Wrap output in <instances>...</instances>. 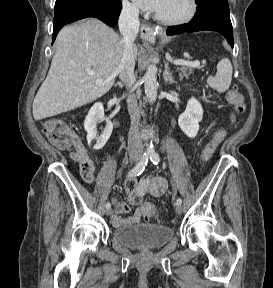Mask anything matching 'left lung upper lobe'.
<instances>
[{
  "mask_svg": "<svg viewBox=\"0 0 273 288\" xmlns=\"http://www.w3.org/2000/svg\"><path fill=\"white\" fill-rule=\"evenodd\" d=\"M199 1H201V0H196V2H199Z\"/></svg>",
  "mask_w": 273,
  "mask_h": 288,
  "instance_id": "obj_1",
  "label": "left lung upper lobe"
}]
</instances>
